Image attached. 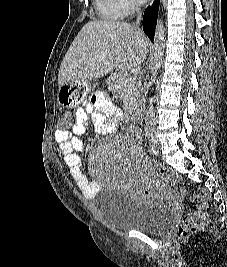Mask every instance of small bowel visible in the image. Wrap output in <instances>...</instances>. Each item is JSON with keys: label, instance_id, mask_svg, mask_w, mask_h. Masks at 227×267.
<instances>
[{"label": "small bowel", "instance_id": "c3829d8e", "mask_svg": "<svg viewBox=\"0 0 227 267\" xmlns=\"http://www.w3.org/2000/svg\"><path fill=\"white\" fill-rule=\"evenodd\" d=\"M121 112L104 93L96 94L89 102L84 103L75 112V123L70 130L55 132V140L70 174L84 197L93 199L97 196L99 185L88 177L82 169V161L78 154L83 149L81 136L89 128V120L93 118L94 126L101 134H111L118 127ZM155 189L149 185L138 186L139 196L153 195Z\"/></svg>", "mask_w": 227, "mask_h": 267}]
</instances>
